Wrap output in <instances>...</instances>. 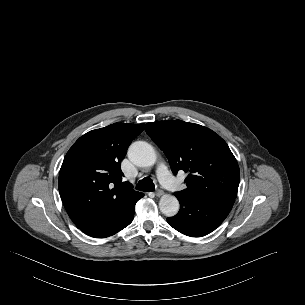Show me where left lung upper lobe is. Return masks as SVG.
<instances>
[{
  "label": "left lung upper lobe",
  "instance_id": "left-lung-upper-lobe-1",
  "mask_svg": "<svg viewBox=\"0 0 305 305\" xmlns=\"http://www.w3.org/2000/svg\"><path fill=\"white\" fill-rule=\"evenodd\" d=\"M145 131L165 153L174 174L179 170L188 173L187 188L175 195L189 199L225 197L235 200L239 166L218 134L181 120L147 123Z\"/></svg>",
  "mask_w": 305,
  "mask_h": 305
}]
</instances>
